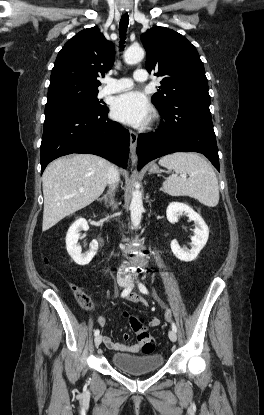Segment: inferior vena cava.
Wrapping results in <instances>:
<instances>
[{"instance_id":"602c4592","label":"inferior vena cava","mask_w":264,"mask_h":415,"mask_svg":"<svg viewBox=\"0 0 264 415\" xmlns=\"http://www.w3.org/2000/svg\"><path fill=\"white\" fill-rule=\"evenodd\" d=\"M118 181H119V172L116 166L111 164L109 167L108 184L112 187V189H114L115 186L118 184ZM122 249H125V247H122ZM118 273L120 275H124L126 273L123 266L119 268Z\"/></svg>"}]
</instances>
